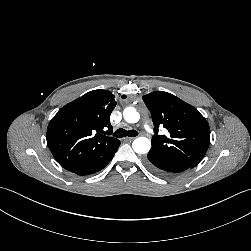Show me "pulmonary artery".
Masks as SVG:
<instances>
[{"instance_id":"e3ab8cb5","label":"pulmonary artery","mask_w":251,"mask_h":251,"mask_svg":"<svg viewBox=\"0 0 251 251\" xmlns=\"http://www.w3.org/2000/svg\"><path fill=\"white\" fill-rule=\"evenodd\" d=\"M144 128H145V130H146L147 132H150V133L152 132L150 126H149L147 123L144 124Z\"/></svg>"}]
</instances>
